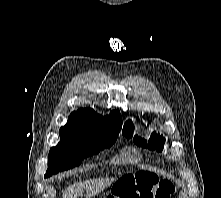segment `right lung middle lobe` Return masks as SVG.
<instances>
[{
	"instance_id": "dd1d6c3e",
	"label": "right lung middle lobe",
	"mask_w": 221,
	"mask_h": 198,
	"mask_svg": "<svg viewBox=\"0 0 221 198\" xmlns=\"http://www.w3.org/2000/svg\"><path fill=\"white\" fill-rule=\"evenodd\" d=\"M118 134V131H98L88 136H60L58 145L50 149L45 177L76 167L84 158L109 148Z\"/></svg>"
}]
</instances>
